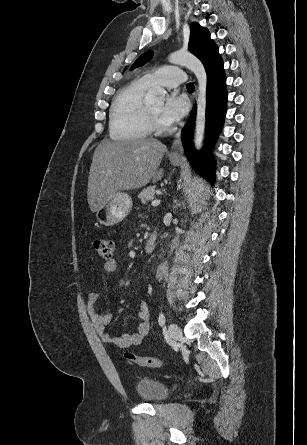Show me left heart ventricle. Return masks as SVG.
Instances as JSON below:
<instances>
[{"instance_id":"left-heart-ventricle-1","label":"left heart ventricle","mask_w":307,"mask_h":445,"mask_svg":"<svg viewBox=\"0 0 307 445\" xmlns=\"http://www.w3.org/2000/svg\"><path fill=\"white\" fill-rule=\"evenodd\" d=\"M162 105H163V99H155L149 104L151 111L159 119H161Z\"/></svg>"}]
</instances>
